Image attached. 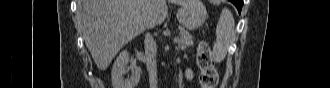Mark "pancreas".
Listing matches in <instances>:
<instances>
[{
    "mask_svg": "<svg viewBox=\"0 0 330 88\" xmlns=\"http://www.w3.org/2000/svg\"><path fill=\"white\" fill-rule=\"evenodd\" d=\"M180 40L178 41L179 49H186L193 44V36L183 29L180 30Z\"/></svg>",
    "mask_w": 330,
    "mask_h": 88,
    "instance_id": "obj_1",
    "label": "pancreas"
}]
</instances>
